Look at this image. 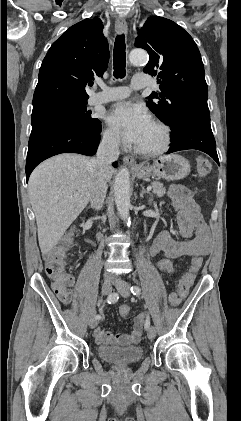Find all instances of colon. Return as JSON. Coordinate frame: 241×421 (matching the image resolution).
Here are the masks:
<instances>
[{"mask_svg": "<svg viewBox=\"0 0 241 421\" xmlns=\"http://www.w3.org/2000/svg\"><path fill=\"white\" fill-rule=\"evenodd\" d=\"M197 172L199 176L205 177L211 171V163L205 157H198L196 160ZM73 240V234H69L64 239L61 246L50 249L44 254L45 270L49 278L54 281L53 287L58 289L59 287L69 285L73 282V278L68 274L66 269V255L65 250L68 248ZM202 257L196 256L191 260L189 270L181 278L176 294L179 298L183 299L189 293V290L193 286L197 273L202 266ZM156 268L161 273L173 274L176 271L174 263L168 259L163 258L156 262ZM130 307L128 305H122L119 309L120 315L124 318L130 314Z\"/></svg>", "mask_w": 241, "mask_h": 421, "instance_id": "colon-1", "label": "colon"}]
</instances>
